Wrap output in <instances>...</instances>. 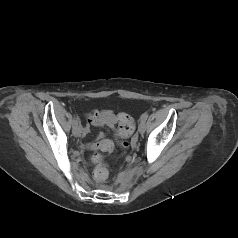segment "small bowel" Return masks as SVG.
I'll return each instance as SVG.
<instances>
[{"mask_svg": "<svg viewBox=\"0 0 238 238\" xmlns=\"http://www.w3.org/2000/svg\"><path fill=\"white\" fill-rule=\"evenodd\" d=\"M117 115L111 110H94L87 114V123L92 126L97 127H105L109 130H113L116 126V119ZM89 132L88 126L83 129V133L87 134ZM105 133L101 132L97 135L96 139L87 144L86 147L91 150H98L102 149L103 145H110L111 142L109 140H105Z\"/></svg>", "mask_w": 238, "mask_h": 238, "instance_id": "obj_1", "label": "small bowel"}]
</instances>
